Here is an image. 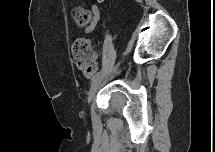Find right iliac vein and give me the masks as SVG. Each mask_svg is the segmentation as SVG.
I'll list each match as a JSON object with an SVG mask.
<instances>
[{
  "instance_id": "63e3f726",
  "label": "right iliac vein",
  "mask_w": 215,
  "mask_h": 152,
  "mask_svg": "<svg viewBox=\"0 0 215 152\" xmlns=\"http://www.w3.org/2000/svg\"><path fill=\"white\" fill-rule=\"evenodd\" d=\"M99 82H100V79H97L91 86L89 92H88V97H87V100H88V103L91 102V100L93 99L94 95H95V92L98 88V85H99Z\"/></svg>"
}]
</instances>
